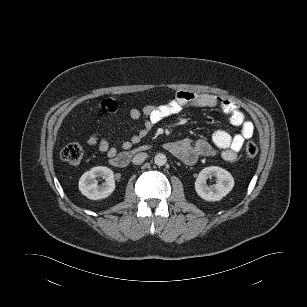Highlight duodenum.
I'll list each match as a JSON object with an SVG mask.
<instances>
[{
    "mask_svg": "<svg viewBox=\"0 0 307 307\" xmlns=\"http://www.w3.org/2000/svg\"><path fill=\"white\" fill-rule=\"evenodd\" d=\"M147 146H140L131 150H127L119 153L114 159L111 160V164L117 168H125L129 165L131 158L138 152L146 150Z\"/></svg>",
    "mask_w": 307,
    "mask_h": 307,
    "instance_id": "obj_1",
    "label": "duodenum"
}]
</instances>
